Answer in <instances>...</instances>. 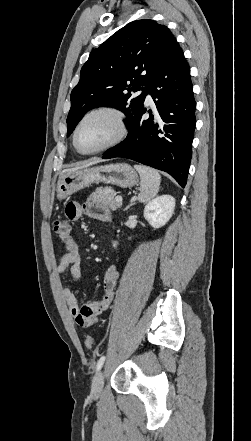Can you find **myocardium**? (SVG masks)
<instances>
[{"label": "myocardium", "mask_w": 251, "mask_h": 441, "mask_svg": "<svg viewBox=\"0 0 251 441\" xmlns=\"http://www.w3.org/2000/svg\"><path fill=\"white\" fill-rule=\"evenodd\" d=\"M99 113H106V114L111 115L117 124L118 131H117L116 135L110 141L105 143L104 145H102L96 149L90 150V151L82 150L78 144L79 130H80L81 126L83 125V123L89 117H91L95 114H99ZM127 134H128V126H127L125 114L121 110H119L115 107L99 106V107H95V108L89 110L81 117V119L79 120L78 124L76 125L74 133H73V144L79 153H81L83 155H92V154L101 153L103 151H106V150L118 145L126 138Z\"/></svg>", "instance_id": "myocardium-1"}]
</instances>
